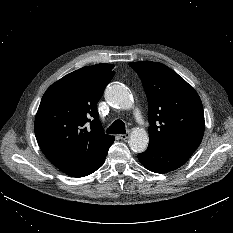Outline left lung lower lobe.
Wrapping results in <instances>:
<instances>
[{"mask_svg":"<svg viewBox=\"0 0 233 233\" xmlns=\"http://www.w3.org/2000/svg\"><path fill=\"white\" fill-rule=\"evenodd\" d=\"M192 152L175 149L158 148L149 145L147 150L138 155L145 168L156 173H166L182 166Z\"/></svg>","mask_w":233,"mask_h":233,"instance_id":"left-lung-lower-lobe-1","label":"left lung lower lobe"}]
</instances>
